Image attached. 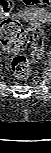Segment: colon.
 Here are the masks:
<instances>
[{
  "label": "colon",
  "mask_w": 51,
  "mask_h": 153,
  "mask_svg": "<svg viewBox=\"0 0 51 153\" xmlns=\"http://www.w3.org/2000/svg\"><path fill=\"white\" fill-rule=\"evenodd\" d=\"M28 5H47L51 0H23ZM45 33L39 26L33 28L31 54L40 60L44 54ZM27 43V32L15 19H6L1 23V44L9 52H19ZM11 70L19 79H27L31 73L29 59L24 55H15L11 60Z\"/></svg>",
  "instance_id": "5ec220e1"
}]
</instances>
